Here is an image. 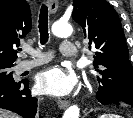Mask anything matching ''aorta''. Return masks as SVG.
<instances>
[{
	"label": "aorta",
	"instance_id": "obj_1",
	"mask_svg": "<svg viewBox=\"0 0 133 118\" xmlns=\"http://www.w3.org/2000/svg\"><path fill=\"white\" fill-rule=\"evenodd\" d=\"M73 29L70 24L65 22H55L52 25V33L61 38L71 36ZM80 109L76 105L70 106L63 114V118H79Z\"/></svg>",
	"mask_w": 133,
	"mask_h": 118
}]
</instances>
